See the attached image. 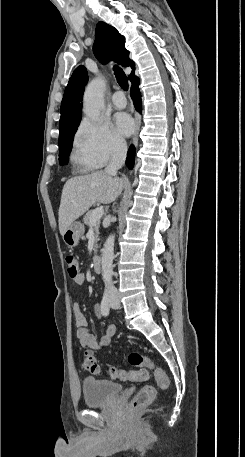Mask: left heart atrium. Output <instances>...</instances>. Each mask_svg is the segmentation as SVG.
<instances>
[{
    "mask_svg": "<svg viewBox=\"0 0 245 457\" xmlns=\"http://www.w3.org/2000/svg\"><path fill=\"white\" fill-rule=\"evenodd\" d=\"M115 126L120 135L129 136L134 130V122L125 113H119L115 116Z\"/></svg>",
    "mask_w": 245,
    "mask_h": 457,
    "instance_id": "obj_1",
    "label": "left heart atrium"
}]
</instances>
